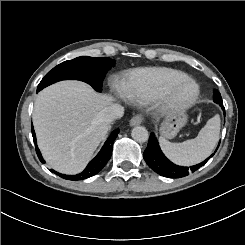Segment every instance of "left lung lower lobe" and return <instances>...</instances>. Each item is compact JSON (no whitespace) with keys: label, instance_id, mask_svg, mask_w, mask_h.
<instances>
[{"label":"left lung lower lobe","instance_id":"obj_1","mask_svg":"<svg viewBox=\"0 0 245 245\" xmlns=\"http://www.w3.org/2000/svg\"><path fill=\"white\" fill-rule=\"evenodd\" d=\"M214 102L219 104L224 111L223 101L218 90H214ZM213 155L214 154H212L210 157H208L205 161L201 162L200 164L191 167H182V166L175 165L164 156V154L162 153L159 147L155 134L151 133L143 157L147 165L161 176L169 177V178H181L189 175L191 172L198 170Z\"/></svg>","mask_w":245,"mask_h":245}]
</instances>
